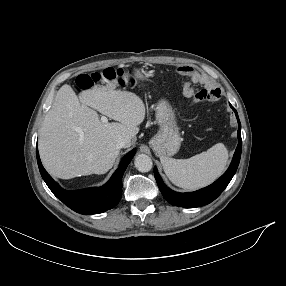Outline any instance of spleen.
Instances as JSON below:
<instances>
[{"instance_id": "spleen-1", "label": "spleen", "mask_w": 286, "mask_h": 286, "mask_svg": "<svg viewBox=\"0 0 286 286\" xmlns=\"http://www.w3.org/2000/svg\"><path fill=\"white\" fill-rule=\"evenodd\" d=\"M160 160L173 184L186 190H196L211 184L223 173L228 150L224 144L217 143L189 159L161 157Z\"/></svg>"}]
</instances>
